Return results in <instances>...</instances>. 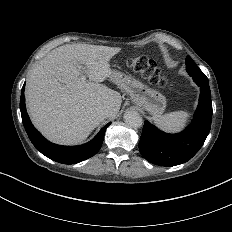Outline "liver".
<instances>
[{"label": "liver", "instance_id": "1", "mask_svg": "<svg viewBox=\"0 0 232 232\" xmlns=\"http://www.w3.org/2000/svg\"><path fill=\"white\" fill-rule=\"evenodd\" d=\"M119 47L66 44L50 51L27 79L25 97L33 125L48 140L82 143L104 120L98 109L109 106L114 118L122 98L101 84L110 77V59ZM85 65V70L82 66ZM85 73L90 81H81Z\"/></svg>", "mask_w": 232, "mask_h": 232}]
</instances>
